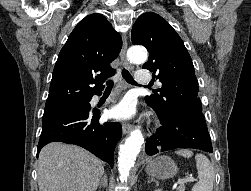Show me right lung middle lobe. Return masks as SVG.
<instances>
[{"label": "right lung middle lobe", "instance_id": "right-lung-middle-lobe-1", "mask_svg": "<svg viewBox=\"0 0 251 191\" xmlns=\"http://www.w3.org/2000/svg\"><path fill=\"white\" fill-rule=\"evenodd\" d=\"M91 106L89 100L71 103L51 109H45L43 114V121L48 120L50 118L63 115L70 112H77V111H90Z\"/></svg>", "mask_w": 251, "mask_h": 191}]
</instances>
